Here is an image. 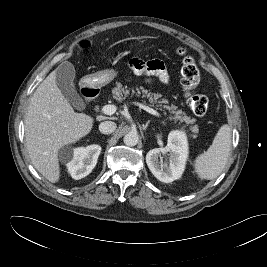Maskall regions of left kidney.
Masks as SVG:
<instances>
[{"instance_id": "obj_1", "label": "left kidney", "mask_w": 267, "mask_h": 267, "mask_svg": "<svg viewBox=\"0 0 267 267\" xmlns=\"http://www.w3.org/2000/svg\"><path fill=\"white\" fill-rule=\"evenodd\" d=\"M159 158L164 160L159 161ZM187 158V137L184 132L175 130L169 133L165 147L155 148L147 153L146 163L159 181L171 183L182 176Z\"/></svg>"}]
</instances>
